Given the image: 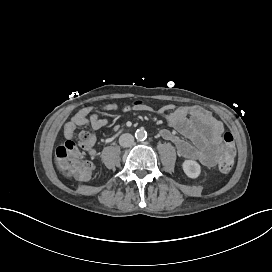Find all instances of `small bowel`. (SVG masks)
<instances>
[{"label": "small bowel", "mask_w": 272, "mask_h": 272, "mask_svg": "<svg viewBox=\"0 0 272 272\" xmlns=\"http://www.w3.org/2000/svg\"><path fill=\"white\" fill-rule=\"evenodd\" d=\"M118 107L117 103L110 102L104 104L101 110L110 112L117 110ZM84 109H89L93 113V118L84 126H90L96 135V131L105 127L108 120L100 117L92 106H86L79 110L83 111ZM134 109L138 111L150 110L144 104ZM158 113L176 130V132L168 129L161 130V138L172 142L181 158L200 161L206 167L215 166L216 158L209 155L207 149L209 146L221 142L224 128L223 124L209 110L199 105H185L176 108L173 104H167L161 107ZM94 146L85 151L90 157L97 156Z\"/></svg>", "instance_id": "small-bowel-1"}]
</instances>
